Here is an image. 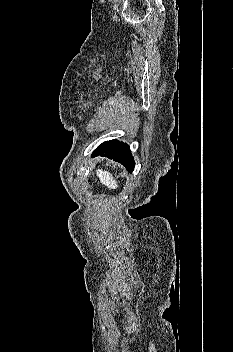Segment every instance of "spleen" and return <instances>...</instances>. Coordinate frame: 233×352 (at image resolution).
<instances>
[{
    "label": "spleen",
    "instance_id": "spleen-1",
    "mask_svg": "<svg viewBox=\"0 0 233 352\" xmlns=\"http://www.w3.org/2000/svg\"><path fill=\"white\" fill-rule=\"evenodd\" d=\"M97 177H99L100 182L107 186L109 189H117L118 182L114 179L113 175L108 171H103L102 169H98L96 171Z\"/></svg>",
    "mask_w": 233,
    "mask_h": 352
}]
</instances>
